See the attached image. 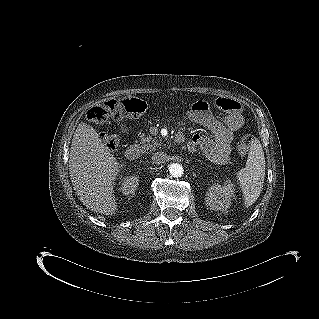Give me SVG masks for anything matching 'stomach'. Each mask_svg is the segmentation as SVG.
<instances>
[{
  "mask_svg": "<svg viewBox=\"0 0 319 319\" xmlns=\"http://www.w3.org/2000/svg\"><path fill=\"white\" fill-rule=\"evenodd\" d=\"M205 109L200 104H197V102H194L190 105L188 110V117L191 120H197L199 119L202 114L205 112Z\"/></svg>",
  "mask_w": 319,
  "mask_h": 319,
  "instance_id": "0dacf381",
  "label": "stomach"
}]
</instances>
